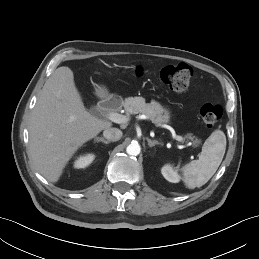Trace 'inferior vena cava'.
I'll list each match as a JSON object with an SVG mask.
<instances>
[{
    "label": "inferior vena cava",
    "instance_id": "inferior-vena-cava-1",
    "mask_svg": "<svg viewBox=\"0 0 259 259\" xmlns=\"http://www.w3.org/2000/svg\"><path fill=\"white\" fill-rule=\"evenodd\" d=\"M103 136L109 141H118L122 137V131L117 128H107L103 131Z\"/></svg>",
    "mask_w": 259,
    "mask_h": 259
}]
</instances>
